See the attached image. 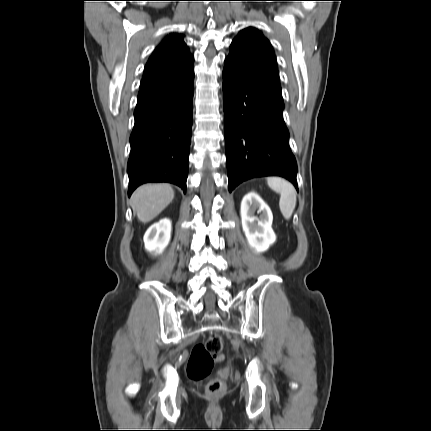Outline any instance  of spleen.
<instances>
[{
    "label": "spleen",
    "instance_id": "3e777b00",
    "mask_svg": "<svg viewBox=\"0 0 431 431\" xmlns=\"http://www.w3.org/2000/svg\"><path fill=\"white\" fill-rule=\"evenodd\" d=\"M268 186L280 194L279 207L285 219H290L296 206V190L294 186L279 177L267 178Z\"/></svg>",
    "mask_w": 431,
    "mask_h": 431
}]
</instances>
